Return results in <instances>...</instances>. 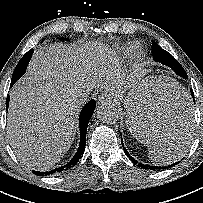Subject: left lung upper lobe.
Instances as JSON below:
<instances>
[{
  "mask_svg": "<svg viewBox=\"0 0 203 203\" xmlns=\"http://www.w3.org/2000/svg\"><path fill=\"white\" fill-rule=\"evenodd\" d=\"M162 48L156 44L155 42L152 43V54L156 51V50H161ZM184 71V69H183ZM185 72V71H184Z\"/></svg>",
  "mask_w": 203,
  "mask_h": 203,
  "instance_id": "left-lung-upper-lobe-1",
  "label": "left lung upper lobe"
}]
</instances>
